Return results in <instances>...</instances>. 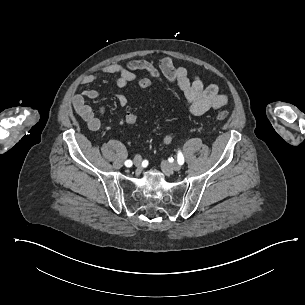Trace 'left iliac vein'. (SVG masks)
Returning <instances> with one entry per match:
<instances>
[{"mask_svg": "<svg viewBox=\"0 0 305 305\" xmlns=\"http://www.w3.org/2000/svg\"><path fill=\"white\" fill-rule=\"evenodd\" d=\"M161 166H162V169L164 170V172L167 174H169L170 172H178L181 169V165L179 163L169 164L164 161L161 163Z\"/></svg>", "mask_w": 305, "mask_h": 305, "instance_id": "left-iliac-vein-1", "label": "left iliac vein"}]
</instances>
